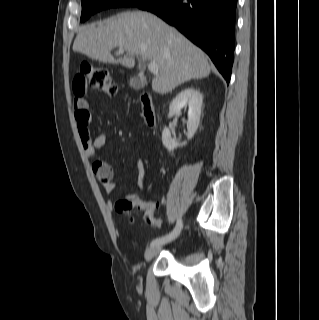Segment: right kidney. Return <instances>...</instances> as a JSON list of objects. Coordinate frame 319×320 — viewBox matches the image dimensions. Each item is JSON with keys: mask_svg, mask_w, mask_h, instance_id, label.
Segmentation results:
<instances>
[{"mask_svg": "<svg viewBox=\"0 0 319 320\" xmlns=\"http://www.w3.org/2000/svg\"><path fill=\"white\" fill-rule=\"evenodd\" d=\"M203 103L202 94L194 89L187 88L181 91L171 102L169 106L168 118L181 114V110L188 107V120H187V138L192 139L200 124L201 107ZM162 143L169 152L173 151L182 144L171 138V132L167 127H164L162 132Z\"/></svg>", "mask_w": 319, "mask_h": 320, "instance_id": "obj_1", "label": "right kidney"}]
</instances>
